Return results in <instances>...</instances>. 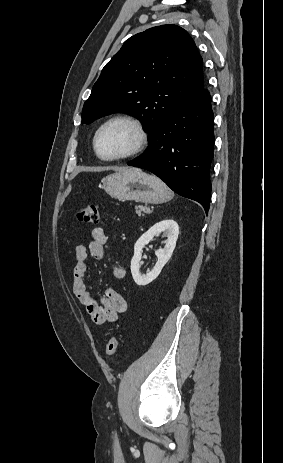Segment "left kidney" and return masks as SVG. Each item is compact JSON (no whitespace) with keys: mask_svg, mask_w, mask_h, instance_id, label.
<instances>
[{"mask_svg":"<svg viewBox=\"0 0 283 463\" xmlns=\"http://www.w3.org/2000/svg\"><path fill=\"white\" fill-rule=\"evenodd\" d=\"M163 234L167 237L165 246L163 249L155 251V255L158 258L153 269L147 274H141L140 272V260L142 257V249L147 245L154 236ZM179 234V226L176 221L168 219L163 220L154 224L147 232L136 241L134 245V256L131 260V273L132 277L137 285L144 286L152 282L158 277L162 268L169 261L176 246V241Z\"/></svg>","mask_w":283,"mask_h":463,"instance_id":"left-kidney-1","label":"left kidney"}]
</instances>
